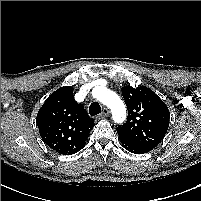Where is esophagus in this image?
<instances>
[{
  "instance_id": "34e87169",
  "label": "esophagus",
  "mask_w": 201,
  "mask_h": 201,
  "mask_svg": "<svg viewBox=\"0 0 201 201\" xmlns=\"http://www.w3.org/2000/svg\"><path fill=\"white\" fill-rule=\"evenodd\" d=\"M109 116V109L108 108H104L102 113L98 116V118H104V117H107Z\"/></svg>"
}]
</instances>
